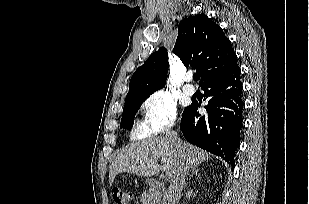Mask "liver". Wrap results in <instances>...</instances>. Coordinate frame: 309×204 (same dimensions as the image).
I'll return each mask as SVG.
<instances>
[{
	"label": "liver",
	"instance_id": "1",
	"mask_svg": "<svg viewBox=\"0 0 309 204\" xmlns=\"http://www.w3.org/2000/svg\"><path fill=\"white\" fill-rule=\"evenodd\" d=\"M158 159H161L162 167L157 163ZM181 159L186 160L190 169H195L208 161L210 154L183 141H180L178 147L168 137L133 142L123 148L112 162L109 183L112 185L116 175L122 172L152 177L162 169L173 177Z\"/></svg>",
	"mask_w": 309,
	"mask_h": 204
}]
</instances>
